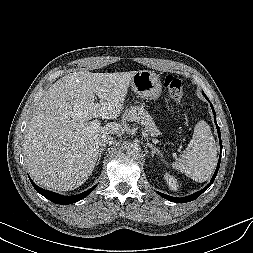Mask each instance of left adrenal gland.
Listing matches in <instances>:
<instances>
[{
	"label": "left adrenal gland",
	"mask_w": 253,
	"mask_h": 253,
	"mask_svg": "<svg viewBox=\"0 0 253 253\" xmlns=\"http://www.w3.org/2000/svg\"><path fill=\"white\" fill-rule=\"evenodd\" d=\"M147 146L151 149L152 156H154V154L161 155L160 150L156 148L154 145H152L151 143H147Z\"/></svg>",
	"instance_id": "1"
}]
</instances>
